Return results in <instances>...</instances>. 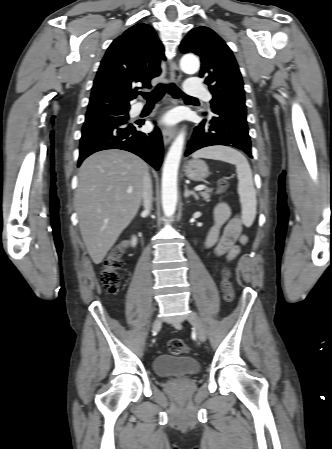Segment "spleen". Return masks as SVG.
Masks as SVG:
<instances>
[{
	"instance_id": "1",
	"label": "spleen",
	"mask_w": 332,
	"mask_h": 449,
	"mask_svg": "<svg viewBox=\"0 0 332 449\" xmlns=\"http://www.w3.org/2000/svg\"><path fill=\"white\" fill-rule=\"evenodd\" d=\"M193 158L220 160L236 166L238 178V194L242 207V221L250 227L256 217V191L253 184L252 171L247 159L231 147L216 146L196 151Z\"/></svg>"
}]
</instances>
